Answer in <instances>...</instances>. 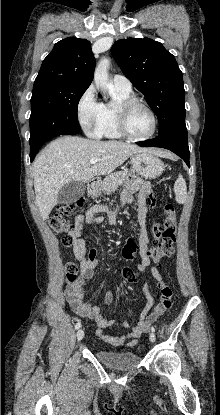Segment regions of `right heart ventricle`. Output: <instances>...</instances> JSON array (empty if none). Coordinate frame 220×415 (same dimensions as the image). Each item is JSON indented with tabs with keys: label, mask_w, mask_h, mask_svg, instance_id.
<instances>
[{
	"label": "right heart ventricle",
	"mask_w": 220,
	"mask_h": 415,
	"mask_svg": "<svg viewBox=\"0 0 220 415\" xmlns=\"http://www.w3.org/2000/svg\"><path fill=\"white\" fill-rule=\"evenodd\" d=\"M114 104L104 105V118L100 129L99 137L117 139L122 136L119 134L115 123L114 109L118 102L129 99L130 93H122L114 89Z\"/></svg>",
	"instance_id": "obj_1"
}]
</instances>
